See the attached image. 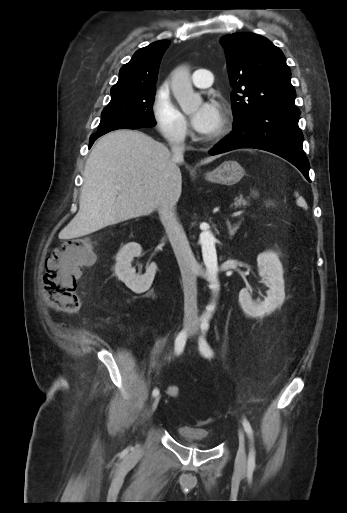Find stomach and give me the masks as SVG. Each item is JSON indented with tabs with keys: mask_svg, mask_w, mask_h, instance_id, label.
Wrapping results in <instances>:
<instances>
[{
	"mask_svg": "<svg viewBox=\"0 0 347 513\" xmlns=\"http://www.w3.org/2000/svg\"><path fill=\"white\" fill-rule=\"evenodd\" d=\"M244 176L243 167L236 160H227L205 175V179L223 185H234Z\"/></svg>",
	"mask_w": 347,
	"mask_h": 513,
	"instance_id": "obj_1",
	"label": "stomach"
}]
</instances>
